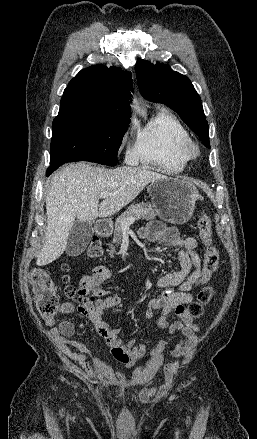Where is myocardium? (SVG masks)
Masks as SVG:
<instances>
[{"mask_svg": "<svg viewBox=\"0 0 257 439\" xmlns=\"http://www.w3.org/2000/svg\"><path fill=\"white\" fill-rule=\"evenodd\" d=\"M183 151H184V154L189 159L196 158L199 155V152H200L198 145L194 141H192V140H189L188 142H186L184 144Z\"/></svg>", "mask_w": 257, "mask_h": 439, "instance_id": "f54148a6", "label": "myocardium"}]
</instances>
